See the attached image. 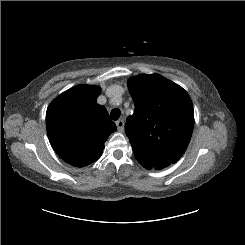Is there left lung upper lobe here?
Masks as SVG:
<instances>
[{
    "instance_id": "5c2ea615",
    "label": "left lung upper lobe",
    "mask_w": 245,
    "mask_h": 245,
    "mask_svg": "<svg viewBox=\"0 0 245 245\" xmlns=\"http://www.w3.org/2000/svg\"><path fill=\"white\" fill-rule=\"evenodd\" d=\"M135 112L125 133L135 158L146 169L161 170L184 154L194 128L188 93L159 74H141L128 81Z\"/></svg>"
}]
</instances>
